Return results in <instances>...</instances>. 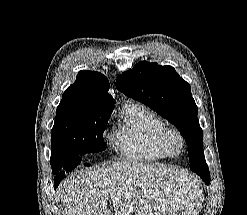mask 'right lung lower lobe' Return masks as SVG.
I'll return each instance as SVG.
<instances>
[{
  "label": "right lung lower lobe",
  "mask_w": 247,
  "mask_h": 215,
  "mask_svg": "<svg viewBox=\"0 0 247 215\" xmlns=\"http://www.w3.org/2000/svg\"><path fill=\"white\" fill-rule=\"evenodd\" d=\"M73 160H75L76 162H78V164L81 163V161L83 160L82 157H74ZM85 165H89V164H85ZM65 172H69L67 169L59 171V172H55V180H54V188H56L59 183L61 182V180L64 178L65 176Z\"/></svg>",
  "instance_id": "obj_1"
}]
</instances>
